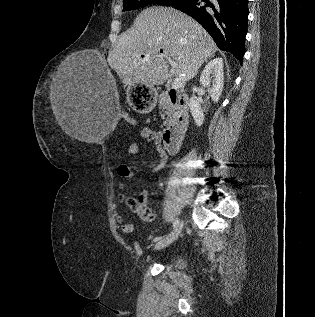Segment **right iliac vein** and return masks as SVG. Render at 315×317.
Listing matches in <instances>:
<instances>
[{"label": "right iliac vein", "mask_w": 315, "mask_h": 317, "mask_svg": "<svg viewBox=\"0 0 315 317\" xmlns=\"http://www.w3.org/2000/svg\"><path fill=\"white\" fill-rule=\"evenodd\" d=\"M183 223L181 222L168 236L157 242L154 246V250H160L168 245H170L173 241H175L182 229Z\"/></svg>", "instance_id": "obj_1"}]
</instances>
